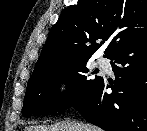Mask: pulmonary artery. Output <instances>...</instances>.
<instances>
[{
    "label": "pulmonary artery",
    "mask_w": 147,
    "mask_h": 131,
    "mask_svg": "<svg viewBox=\"0 0 147 131\" xmlns=\"http://www.w3.org/2000/svg\"><path fill=\"white\" fill-rule=\"evenodd\" d=\"M97 64L101 67H104L108 64V61L105 58H99L98 61H97Z\"/></svg>",
    "instance_id": "e3ab8cb5"
}]
</instances>
